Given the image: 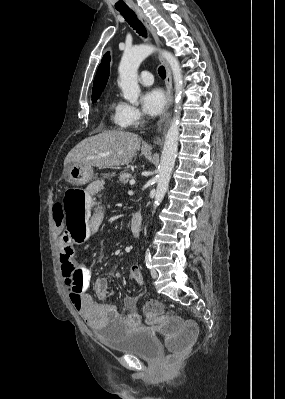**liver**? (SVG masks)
<instances>
[{
    "label": "liver",
    "mask_w": 285,
    "mask_h": 399,
    "mask_svg": "<svg viewBox=\"0 0 285 399\" xmlns=\"http://www.w3.org/2000/svg\"><path fill=\"white\" fill-rule=\"evenodd\" d=\"M135 133L108 130L78 143L66 156L64 166L77 164L88 167L112 168L125 165L140 148Z\"/></svg>",
    "instance_id": "1"
}]
</instances>
